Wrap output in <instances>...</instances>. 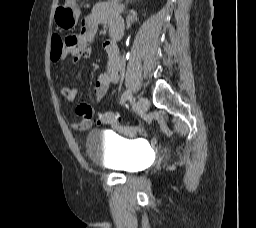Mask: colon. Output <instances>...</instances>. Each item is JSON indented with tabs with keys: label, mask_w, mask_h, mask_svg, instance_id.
<instances>
[{
	"label": "colon",
	"mask_w": 256,
	"mask_h": 228,
	"mask_svg": "<svg viewBox=\"0 0 256 228\" xmlns=\"http://www.w3.org/2000/svg\"><path fill=\"white\" fill-rule=\"evenodd\" d=\"M64 49V42L62 41L61 37L59 35H53L52 41H51V58L53 60L58 59ZM98 122L103 125H116L120 122V117L115 112H105L102 113L99 118Z\"/></svg>",
	"instance_id": "5ec220e1"
}]
</instances>
